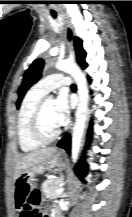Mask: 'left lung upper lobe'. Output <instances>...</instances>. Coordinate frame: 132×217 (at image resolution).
<instances>
[{
  "label": "left lung upper lobe",
  "mask_w": 132,
  "mask_h": 217,
  "mask_svg": "<svg viewBox=\"0 0 132 217\" xmlns=\"http://www.w3.org/2000/svg\"><path fill=\"white\" fill-rule=\"evenodd\" d=\"M74 45L77 55V61L81 65L82 68H86L87 64L85 62V56L86 53L84 49L82 48V41L75 37L74 39ZM44 62L42 59H36L29 69L25 72L23 77V82L18 90V101H17V107L19 108L20 103L26 93V91L35 83L37 82L41 77V72L43 69Z\"/></svg>",
  "instance_id": "5c2ea615"
}]
</instances>
